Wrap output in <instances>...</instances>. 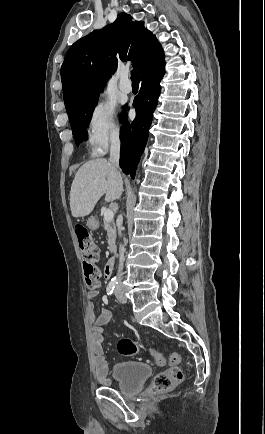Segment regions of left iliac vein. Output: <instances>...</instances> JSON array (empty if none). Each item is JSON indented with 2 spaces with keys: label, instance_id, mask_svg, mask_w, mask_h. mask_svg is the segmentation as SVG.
I'll list each match as a JSON object with an SVG mask.
<instances>
[{
  "label": "left iliac vein",
  "instance_id": "1",
  "mask_svg": "<svg viewBox=\"0 0 265 434\" xmlns=\"http://www.w3.org/2000/svg\"><path fill=\"white\" fill-rule=\"evenodd\" d=\"M116 298L121 303H126L127 298L124 294V291L121 289V287H117L115 290Z\"/></svg>",
  "mask_w": 265,
  "mask_h": 434
}]
</instances>
